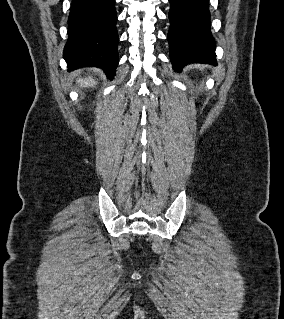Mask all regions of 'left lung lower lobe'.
I'll use <instances>...</instances> for the list:
<instances>
[{"mask_svg": "<svg viewBox=\"0 0 284 319\" xmlns=\"http://www.w3.org/2000/svg\"><path fill=\"white\" fill-rule=\"evenodd\" d=\"M170 59L176 72L190 63L217 65L208 0H169Z\"/></svg>", "mask_w": 284, "mask_h": 319, "instance_id": "obj_1", "label": "left lung lower lobe"}]
</instances>
